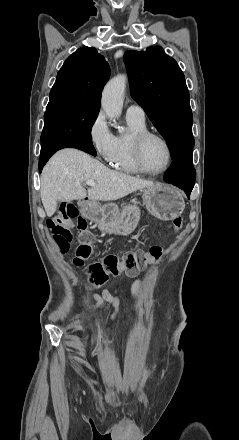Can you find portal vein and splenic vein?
Listing matches in <instances>:
<instances>
[{
	"label": "portal vein and splenic vein",
	"instance_id": "obj_1",
	"mask_svg": "<svg viewBox=\"0 0 239 440\" xmlns=\"http://www.w3.org/2000/svg\"><path fill=\"white\" fill-rule=\"evenodd\" d=\"M86 184L87 186H91V188H93V186H96L94 180H87Z\"/></svg>",
	"mask_w": 239,
	"mask_h": 440
}]
</instances>
